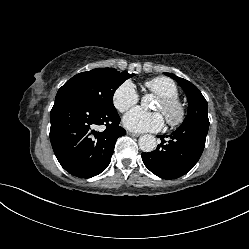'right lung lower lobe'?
<instances>
[{"mask_svg":"<svg viewBox=\"0 0 249 249\" xmlns=\"http://www.w3.org/2000/svg\"><path fill=\"white\" fill-rule=\"evenodd\" d=\"M50 141L61 166L80 178L106 169L118 137L126 134L115 110L90 106L72 94H58L50 113ZM104 125L102 132L95 131Z\"/></svg>","mask_w":249,"mask_h":249,"instance_id":"98d812e1","label":"right lung lower lobe"}]
</instances>
